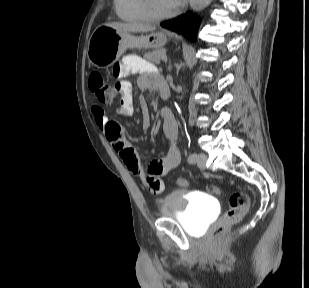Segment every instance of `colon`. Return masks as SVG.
Returning a JSON list of instances; mask_svg holds the SVG:
<instances>
[{
  "label": "colon",
  "instance_id": "5ec220e1",
  "mask_svg": "<svg viewBox=\"0 0 309 288\" xmlns=\"http://www.w3.org/2000/svg\"><path fill=\"white\" fill-rule=\"evenodd\" d=\"M88 85L92 94L100 102H109L115 94L111 90L110 86L108 85L102 74L99 72L95 71L89 74ZM176 183L181 187L188 186L187 179L182 177L178 178L176 180ZM209 190L217 194L220 192L219 188L214 185H210ZM249 205L250 199L245 192L232 193L229 198V207L225 212L222 220L214 228L213 237H222L232 225L238 223L247 213Z\"/></svg>",
  "mask_w": 309,
  "mask_h": 288
}]
</instances>
